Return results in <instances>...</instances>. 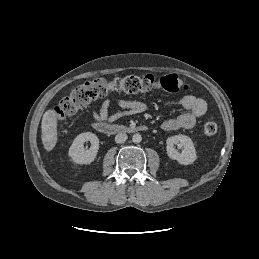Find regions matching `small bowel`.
<instances>
[{
  "label": "small bowel",
  "instance_id": "1",
  "mask_svg": "<svg viewBox=\"0 0 259 259\" xmlns=\"http://www.w3.org/2000/svg\"><path fill=\"white\" fill-rule=\"evenodd\" d=\"M121 110L110 114V100L105 99L92 109V117L95 123H110L122 117L137 114L143 110V106L136 102H128L117 97L114 98ZM178 103L185 110L184 113L177 117L170 118L162 123V129L165 131H175L178 129L192 128L196 120L202 117L207 110L206 102L194 95H184L179 98Z\"/></svg>",
  "mask_w": 259,
  "mask_h": 259
}]
</instances>
